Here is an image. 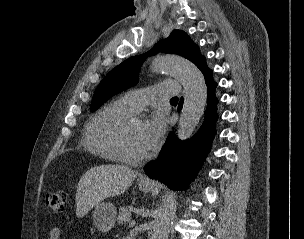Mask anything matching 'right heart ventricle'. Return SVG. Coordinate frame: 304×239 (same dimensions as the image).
<instances>
[{
  "mask_svg": "<svg viewBox=\"0 0 304 239\" xmlns=\"http://www.w3.org/2000/svg\"><path fill=\"white\" fill-rule=\"evenodd\" d=\"M134 111L121 99L101 108L87 123L83 134V146L90 153L105 160L119 162L114 136L118 126Z\"/></svg>",
  "mask_w": 304,
  "mask_h": 239,
  "instance_id": "right-heart-ventricle-1",
  "label": "right heart ventricle"
}]
</instances>
